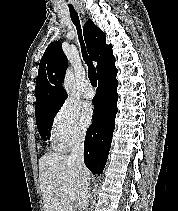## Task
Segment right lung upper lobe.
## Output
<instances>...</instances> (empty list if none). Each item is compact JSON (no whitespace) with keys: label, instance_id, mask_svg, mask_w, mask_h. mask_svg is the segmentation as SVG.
I'll return each mask as SVG.
<instances>
[{"label":"right lung upper lobe","instance_id":"1","mask_svg":"<svg viewBox=\"0 0 178 211\" xmlns=\"http://www.w3.org/2000/svg\"><path fill=\"white\" fill-rule=\"evenodd\" d=\"M84 38L92 60L97 61L98 80L117 71L112 45L106 44L105 34L93 22L89 21L83 27ZM67 58L58 41L52 42L41 58L36 79V114L43 109L64 103L66 93L62 86L63 77L67 69Z\"/></svg>","mask_w":178,"mask_h":211}]
</instances>
